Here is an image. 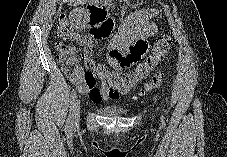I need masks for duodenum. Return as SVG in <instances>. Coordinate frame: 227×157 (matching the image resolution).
Returning <instances> with one entry per match:
<instances>
[{"instance_id":"410a0bca","label":"duodenum","mask_w":227,"mask_h":157,"mask_svg":"<svg viewBox=\"0 0 227 157\" xmlns=\"http://www.w3.org/2000/svg\"><path fill=\"white\" fill-rule=\"evenodd\" d=\"M89 9H97L103 13L104 16H89L87 25H98L99 27H93V32H108V30H116V25H113L112 21L106 18L105 11L102 9V4H89Z\"/></svg>"}]
</instances>
